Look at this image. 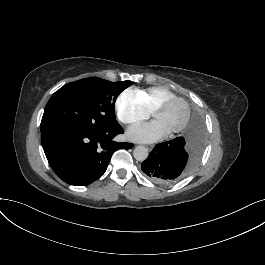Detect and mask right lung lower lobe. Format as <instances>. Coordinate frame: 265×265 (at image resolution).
<instances>
[{"label": "right lung lower lobe", "mask_w": 265, "mask_h": 265, "mask_svg": "<svg viewBox=\"0 0 265 265\" xmlns=\"http://www.w3.org/2000/svg\"><path fill=\"white\" fill-rule=\"evenodd\" d=\"M120 133V125L108 129L62 127L41 134V142L58 177L70 185L84 186L105 173L116 150L133 147L112 140Z\"/></svg>", "instance_id": "right-lung-lower-lobe-1"}]
</instances>
